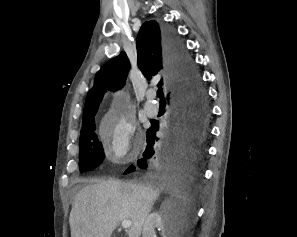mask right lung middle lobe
Here are the masks:
<instances>
[{
	"instance_id": "dd1d6c3e",
	"label": "right lung middle lobe",
	"mask_w": 297,
	"mask_h": 237,
	"mask_svg": "<svg viewBox=\"0 0 297 237\" xmlns=\"http://www.w3.org/2000/svg\"><path fill=\"white\" fill-rule=\"evenodd\" d=\"M95 124L83 128L80 137L79 168L83 172L102 163L104 151L94 131Z\"/></svg>"
}]
</instances>
